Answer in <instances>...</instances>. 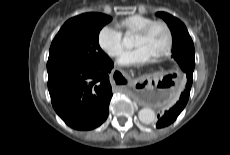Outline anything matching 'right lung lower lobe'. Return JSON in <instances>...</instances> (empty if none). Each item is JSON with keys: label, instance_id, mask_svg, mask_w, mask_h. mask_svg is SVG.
<instances>
[{"label": "right lung lower lobe", "instance_id": "obj_1", "mask_svg": "<svg viewBox=\"0 0 230 155\" xmlns=\"http://www.w3.org/2000/svg\"><path fill=\"white\" fill-rule=\"evenodd\" d=\"M111 59L100 65L57 66L48 71V89L56 113L70 127L91 130L107 118L112 88Z\"/></svg>", "mask_w": 230, "mask_h": 155}]
</instances>
